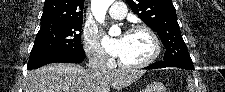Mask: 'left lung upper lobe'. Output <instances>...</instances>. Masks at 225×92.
I'll return each mask as SVG.
<instances>
[{"label": "left lung upper lobe", "mask_w": 225, "mask_h": 92, "mask_svg": "<svg viewBox=\"0 0 225 92\" xmlns=\"http://www.w3.org/2000/svg\"><path fill=\"white\" fill-rule=\"evenodd\" d=\"M141 20L155 30L166 48L165 62L188 61L191 58L182 38L171 0H126Z\"/></svg>", "instance_id": "1"}]
</instances>
